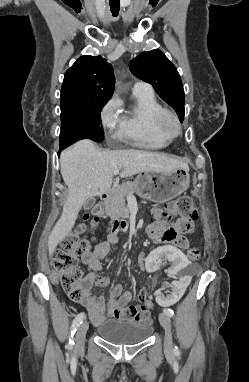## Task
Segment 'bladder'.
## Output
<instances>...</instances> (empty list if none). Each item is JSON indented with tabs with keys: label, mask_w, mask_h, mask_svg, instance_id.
<instances>
[{
	"label": "bladder",
	"mask_w": 249,
	"mask_h": 382,
	"mask_svg": "<svg viewBox=\"0 0 249 382\" xmlns=\"http://www.w3.org/2000/svg\"><path fill=\"white\" fill-rule=\"evenodd\" d=\"M151 324L108 319L97 327V332L103 340L119 345H130L146 340L152 333Z\"/></svg>",
	"instance_id": "obj_1"
}]
</instances>
